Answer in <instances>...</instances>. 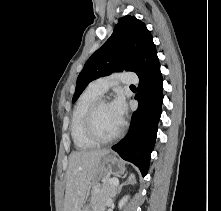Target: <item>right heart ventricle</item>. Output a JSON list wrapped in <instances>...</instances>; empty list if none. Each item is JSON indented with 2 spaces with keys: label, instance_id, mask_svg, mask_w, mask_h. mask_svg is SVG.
I'll return each instance as SVG.
<instances>
[{
  "label": "right heart ventricle",
  "instance_id": "obj_1",
  "mask_svg": "<svg viewBox=\"0 0 221 211\" xmlns=\"http://www.w3.org/2000/svg\"><path fill=\"white\" fill-rule=\"evenodd\" d=\"M100 92L88 86L78 98L71 118V137L77 149L85 150L96 145L85 134L84 122L86 113L91 104L101 97Z\"/></svg>",
  "mask_w": 221,
  "mask_h": 211
}]
</instances>
